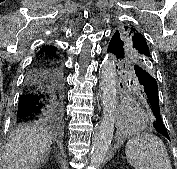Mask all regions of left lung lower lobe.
<instances>
[{"instance_id":"0a47b994","label":"left lung lower lobe","mask_w":177,"mask_h":169,"mask_svg":"<svg viewBox=\"0 0 177 169\" xmlns=\"http://www.w3.org/2000/svg\"><path fill=\"white\" fill-rule=\"evenodd\" d=\"M108 52L111 53V56L117 58V52L111 43L108 46ZM132 67L138 78L137 84L142 92L145 93L147 103L149 104V107L154 115L153 128L159 134L170 140L160 112L158 86L155 78L146 69L138 64H134Z\"/></svg>"}]
</instances>
